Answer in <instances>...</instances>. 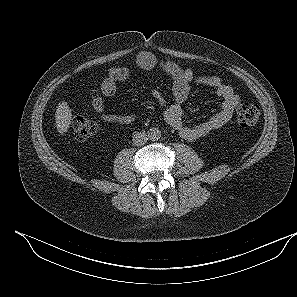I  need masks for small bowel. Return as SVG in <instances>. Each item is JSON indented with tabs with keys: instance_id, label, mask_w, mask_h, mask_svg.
Masks as SVG:
<instances>
[{
	"instance_id": "small-bowel-1",
	"label": "small bowel",
	"mask_w": 297,
	"mask_h": 297,
	"mask_svg": "<svg viewBox=\"0 0 297 297\" xmlns=\"http://www.w3.org/2000/svg\"><path fill=\"white\" fill-rule=\"evenodd\" d=\"M131 64L145 71L160 69L169 80L170 90L174 103L168 105L162 93L153 89L151 94L156 102L164 108L166 122L175 129L180 137L186 141H196L212 131H215L230 121L235 109L241 102L234 89L225 84L220 77L198 75L191 68H182L176 63L161 62L148 51H142L135 55ZM131 72L128 65L114 66L102 81L100 90H93L92 106L99 114L100 119L110 125H127L134 121L135 116L130 113L111 114L105 111L104 96H113L117 92L118 83L125 81ZM192 84H200L213 88L221 99L220 110L209 119L189 126L183 117L182 104L188 98Z\"/></svg>"
}]
</instances>
